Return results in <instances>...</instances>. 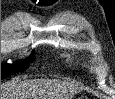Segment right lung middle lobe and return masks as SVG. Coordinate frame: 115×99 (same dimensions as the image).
Wrapping results in <instances>:
<instances>
[{
	"label": "right lung middle lobe",
	"instance_id": "obj_1",
	"mask_svg": "<svg viewBox=\"0 0 115 99\" xmlns=\"http://www.w3.org/2000/svg\"><path fill=\"white\" fill-rule=\"evenodd\" d=\"M33 59L34 55L32 53L26 60L18 61L12 65L7 63L1 64V79L12 73L25 71L29 67V64L33 61Z\"/></svg>",
	"mask_w": 115,
	"mask_h": 99
}]
</instances>
